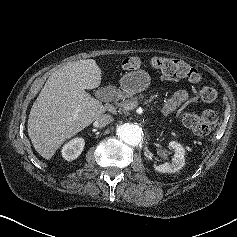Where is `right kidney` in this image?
<instances>
[{
  "label": "right kidney",
  "instance_id": "right-kidney-1",
  "mask_svg": "<svg viewBox=\"0 0 237 237\" xmlns=\"http://www.w3.org/2000/svg\"><path fill=\"white\" fill-rule=\"evenodd\" d=\"M85 141L83 138L76 137L62 147V156L67 161L76 159L83 151Z\"/></svg>",
  "mask_w": 237,
  "mask_h": 237
}]
</instances>
